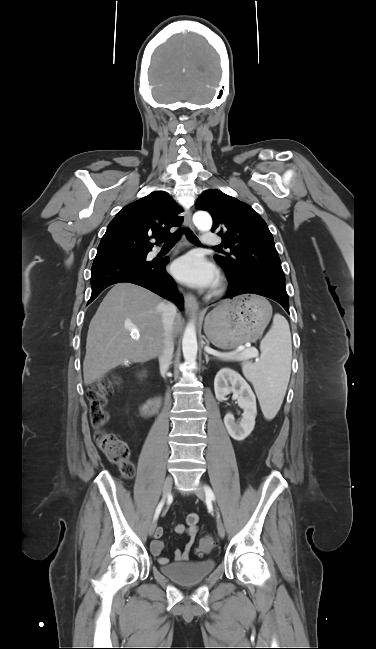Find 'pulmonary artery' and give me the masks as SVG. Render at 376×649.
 <instances>
[{
    "label": "pulmonary artery",
    "instance_id": "obj_1",
    "mask_svg": "<svg viewBox=\"0 0 376 649\" xmlns=\"http://www.w3.org/2000/svg\"><path fill=\"white\" fill-rule=\"evenodd\" d=\"M201 242L206 247H214L220 243V239L216 235L206 232L202 236Z\"/></svg>",
    "mask_w": 376,
    "mask_h": 649
}]
</instances>
